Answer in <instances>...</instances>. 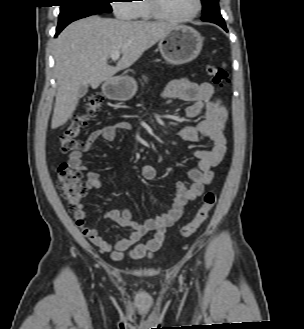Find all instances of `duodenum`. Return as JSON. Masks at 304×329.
Returning a JSON list of instances; mask_svg holds the SVG:
<instances>
[{
  "label": "duodenum",
  "mask_w": 304,
  "mask_h": 329,
  "mask_svg": "<svg viewBox=\"0 0 304 329\" xmlns=\"http://www.w3.org/2000/svg\"><path fill=\"white\" fill-rule=\"evenodd\" d=\"M109 87H110V85L108 84L107 86H106V91L108 92V90H109Z\"/></svg>",
  "instance_id": "410a0bca"
}]
</instances>
